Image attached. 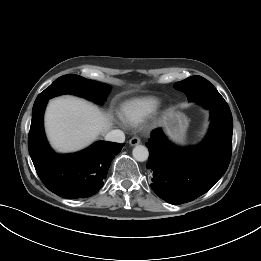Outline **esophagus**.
I'll list each match as a JSON object with an SVG mask.
<instances>
[{
    "instance_id": "obj_1",
    "label": "esophagus",
    "mask_w": 261,
    "mask_h": 261,
    "mask_svg": "<svg viewBox=\"0 0 261 261\" xmlns=\"http://www.w3.org/2000/svg\"><path fill=\"white\" fill-rule=\"evenodd\" d=\"M140 139L138 137H132L130 140H129V144L131 146H136L138 144H140Z\"/></svg>"
}]
</instances>
